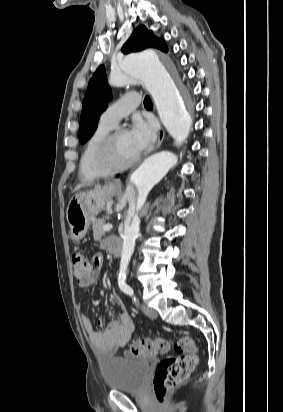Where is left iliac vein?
I'll list each match as a JSON object with an SVG mask.
<instances>
[{
  "label": "left iliac vein",
  "mask_w": 283,
  "mask_h": 412,
  "mask_svg": "<svg viewBox=\"0 0 283 412\" xmlns=\"http://www.w3.org/2000/svg\"><path fill=\"white\" fill-rule=\"evenodd\" d=\"M141 310L150 319H156L157 316H158L157 312L154 309H152V308H150V307H148L144 304L141 305Z\"/></svg>",
  "instance_id": "obj_1"
}]
</instances>
